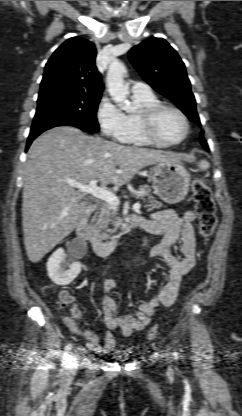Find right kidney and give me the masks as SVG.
<instances>
[{
    "instance_id": "right-kidney-1",
    "label": "right kidney",
    "mask_w": 242,
    "mask_h": 416,
    "mask_svg": "<svg viewBox=\"0 0 242 416\" xmlns=\"http://www.w3.org/2000/svg\"><path fill=\"white\" fill-rule=\"evenodd\" d=\"M47 271L55 284L65 286L78 276L81 264L70 254H66L63 248H59L48 259Z\"/></svg>"
}]
</instances>
